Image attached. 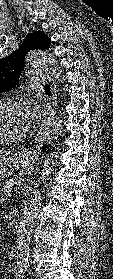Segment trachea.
I'll use <instances>...</instances> for the list:
<instances>
[{
  "instance_id": "trachea-1",
  "label": "trachea",
  "mask_w": 113,
  "mask_h": 279,
  "mask_svg": "<svg viewBox=\"0 0 113 279\" xmlns=\"http://www.w3.org/2000/svg\"><path fill=\"white\" fill-rule=\"evenodd\" d=\"M45 89H50L49 85H45Z\"/></svg>"
}]
</instances>
